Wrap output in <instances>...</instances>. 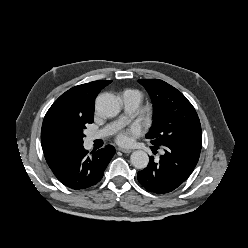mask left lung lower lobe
<instances>
[{"label": "left lung lower lobe", "instance_id": "obj_1", "mask_svg": "<svg viewBox=\"0 0 248 248\" xmlns=\"http://www.w3.org/2000/svg\"><path fill=\"white\" fill-rule=\"evenodd\" d=\"M161 148L163 154L158 162L150 158L148 166L139 171V183L147 190L157 194H164L179 187L192 173L200 156V152L173 147L154 146Z\"/></svg>", "mask_w": 248, "mask_h": 248}]
</instances>
